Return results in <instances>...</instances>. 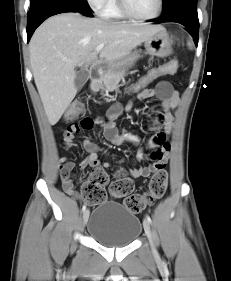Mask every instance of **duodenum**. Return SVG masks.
<instances>
[{"instance_id":"1","label":"duodenum","mask_w":231,"mask_h":281,"mask_svg":"<svg viewBox=\"0 0 231 281\" xmlns=\"http://www.w3.org/2000/svg\"><path fill=\"white\" fill-rule=\"evenodd\" d=\"M103 68L96 67L92 71V81H96L102 74H103Z\"/></svg>"}]
</instances>
